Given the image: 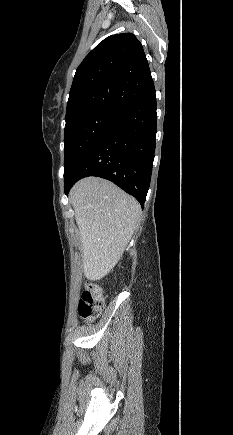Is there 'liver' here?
I'll return each mask as SVG.
<instances>
[{"instance_id":"obj_1","label":"liver","mask_w":233,"mask_h":435,"mask_svg":"<svg viewBox=\"0 0 233 435\" xmlns=\"http://www.w3.org/2000/svg\"><path fill=\"white\" fill-rule=\"evenodd\" d=\"M82 243L84 275L98 280L121 259L140 214L139 203L108 180L88 177L70 191Z\"/></svg>"}]
</instances>
